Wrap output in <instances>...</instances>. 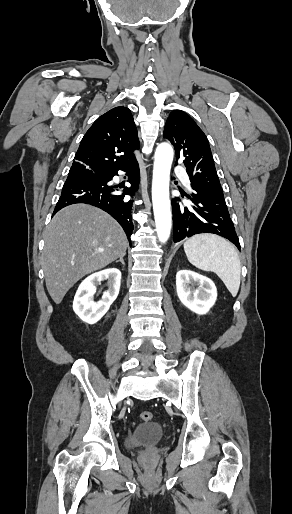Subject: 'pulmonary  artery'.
<instances>
[{
    "label": "pulmonary artery",
    "instance_id": "pulmonary-artery-1",
    "mask_svg": "<svg viewBox=\"0 0 292 514\" xmlns=\"http://www.w3.org/2000/svg\"><path fill=\"white\" fill-rule=\"evenodd\" d=\"M183 180H184V184L187 186V187H190V179L189 177L187 176V174L185 172H183Z\"/></svg>",
    "mask_w": 292,
    "mask_h": 514
}]
</instances>
